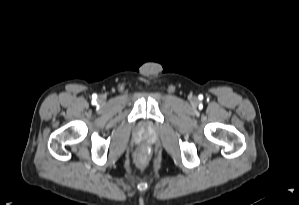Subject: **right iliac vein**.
I'll return each instance as SVG.
<instances>
[{"label": "right iliac vein", "instance_id": "right-iliac-vein-1", "mask_svg": "<svg viewBox=\"0 0 299 205\" xmlns=\"http://www.w3.org/2000/svg\"><path fill=\"white\" fill-rule=\"evenodd\" d=\"M99 100L102 101V100H103V97H100Z\"/></svg>", "mask_w": 299, "mask_h": 205}]
</instances>
